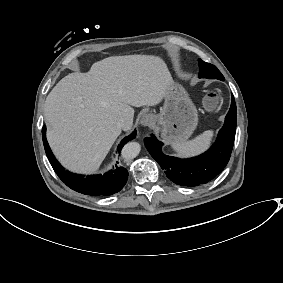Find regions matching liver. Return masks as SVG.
Masks as SVG:
<instances>
[{
    "mask_svg": "<svg viewBox=\"0 0 283 283\" xmlns=\"http://www.w3.org/2000/svg\"><path fill=\"white\" fill-rule=\"evenodd\" d=\"M173 86L165 63L150 56L109 57L88 74L70 73L45 101L49 143L67 168L95 172L121 134L118 120L131 128L133 107L161 104Z\"/></svg>",
    "mask_w": 283,
    "mask_h": 283,
    "instance_id": "6515ba94",
    "label": "liver"
}]
</instances>
